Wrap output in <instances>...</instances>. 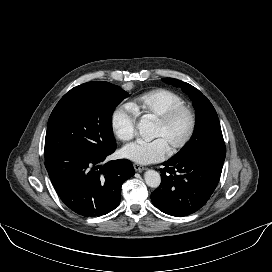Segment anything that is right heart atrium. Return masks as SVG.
I'll return each instance as SVG.
<instances>
[{
    "label": "right heart atrium",
    "instance_id": "obj_1",
    "mask_svg": "<svg viewBox=\"0 0 272 272\" xmlns=\"http://www.w3.org/2000/svg\"><path fill=\"white\" fill-rule=\"evenodd\" d=\"M137 115L128 104L118 105L111 115V127L118 139L128 141L136 130Z\"/></svg>",
    "mask_w": 272,
    "mask_h": 272
}]
</instances>
